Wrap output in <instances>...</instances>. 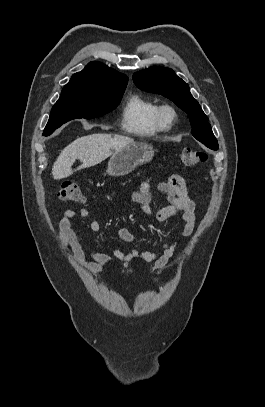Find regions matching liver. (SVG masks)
<instances>
[{
    "instance_id": "1",
    "label": "liver",
    "mask_w": 265,
    "mask_h": 407,
    "mask_svg": "<svg viewBox=\"0 0 265 407\" xmlns=\"http://www.w3.org/2000/svg\"><path fill=\"white\" fill-rule=\"evenodd\" d=\"M134 143L127 136L111 134H93L80 137L66 146L52 167V175L55 180L67 178L74 171L88 168L107 159L115 151ZM82 162L77 169L73 170L75 160Z\"/></svg>"
}]
</instances>
